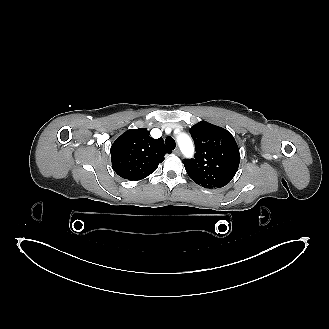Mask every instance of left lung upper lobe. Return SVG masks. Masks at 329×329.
<instances>
[{"mask_svg":"<svg viewBox=\"0 0 329 329\" xmlns=\"http://www.w3.org/2000/svg\"><path fill=\"white\" fill-rule=\"evenodd\" d=\"M195 143L194 159L184 160L186 172L198 185L221 188L235 176L240 153L234 137L227 130L201 121L190 129Z\"/></svg>","mask_w":329,"mask_h":329,"instance_id":"left-lung-upper-lobe-1","label":"left lung upper lobe"}]
</instances>
